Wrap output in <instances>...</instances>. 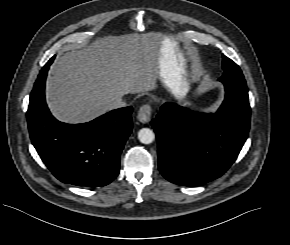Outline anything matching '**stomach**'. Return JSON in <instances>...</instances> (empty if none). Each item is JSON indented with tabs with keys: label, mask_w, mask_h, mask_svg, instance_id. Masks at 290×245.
Here are the masks:
<instances>
[{
	"label": "stomach",
	"mask_w": 290,
	"mask_h": 245,
	"mask_svg": "<svg viewBox=\"0 0 290 245\" xmlns=\"http://www.w3.org/2000/svg\"><path fill=\"white\" fill-rule=\"evenodd\" d=\"M185 94L177 95V98H182Z\"/></svg>",
	"instance_id": "stomach-1"
}]
</instances>
